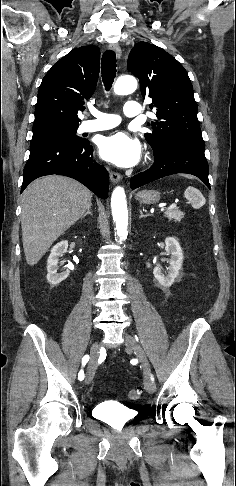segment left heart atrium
<instances>
[{
	"label": "left heart atrium",
	"instance_id": "obj_1",
	"mask_svg": "<svg viewBox=\"0 0 236 486\" xmlns=\"http://www.w3.org/2000/svg\"><path fill=\"white\" fill-rule=\"evenodd\" d=\"M99 154L104 160L119 167H131L141 157V145L125 132H116L100 140Z\"/></svg>",
	"mask_w": 236,
	"mask_h": 486
}]
</instances>
